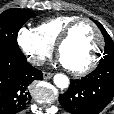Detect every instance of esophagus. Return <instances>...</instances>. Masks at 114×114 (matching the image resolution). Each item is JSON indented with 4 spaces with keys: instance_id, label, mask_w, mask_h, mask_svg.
<instances>
[{
    "instance_id": "1",
    "label": "esophagus",
    "mask_w": 114,
    "mask_h": 114,
    "mask_svg": "<svg viewBox=\"0 0 114 114\" xmlns=\"http://www.w3.org/2000/svg\"><path fill=\"white\" fill-rule=\"evenodd\" d=\"M53 74L49 72H43L44 79H50L52 78Z\"/></svg>"
}]
</instances>
